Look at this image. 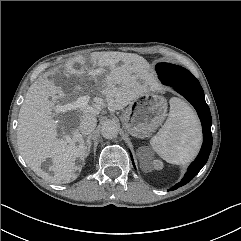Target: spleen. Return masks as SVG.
<instances>
[{
	"mask_svg": "<svg viewBox=\"0 0 241 241\" xmlns=\"http://www.w3.org/2000/svg\"><path fill=\"white\" fill-rule=\"evenodd\" d=\"M170 112L165 124L150 140L155 152L172 164H186L197 155L202 133L193 108L184 100L170 99Z\"/></svg>",
	"mask_w": 241,
	"mask_h": 241,
	"instance_id": "spleen-1",
	"label": "spleen"
}]
</instances>
